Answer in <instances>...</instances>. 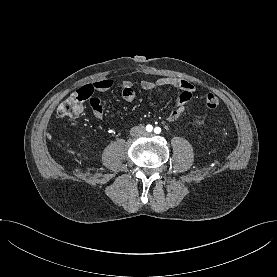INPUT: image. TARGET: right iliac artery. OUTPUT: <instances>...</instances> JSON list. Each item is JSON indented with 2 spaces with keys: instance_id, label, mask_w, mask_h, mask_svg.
<instances>
[{
  "instance_id": "1",
  "label": "right iliac artery",
  "mask_w": 277,
  "mask_h": 277,
  "mask_svg": "<svg viewBox=\"0 0 277 277\" xmlns=\"http://www.w3.org/2000/svg\"><path fill=\"white\" fill-rule=\"evenodd\" d=\"M146 130H147L148 132H151V131L153 130L152 125L148 124V125L146 126Z\"/></svg>"
}]
</instances>
